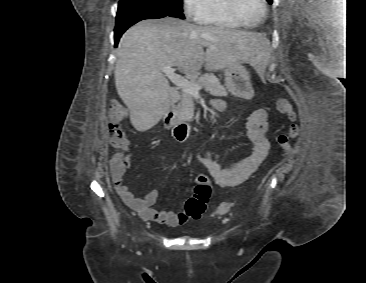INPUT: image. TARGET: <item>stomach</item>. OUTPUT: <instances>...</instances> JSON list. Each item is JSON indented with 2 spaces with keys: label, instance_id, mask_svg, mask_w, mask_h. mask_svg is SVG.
I'll list each match as a JSON object with an SVG mask.
<instances>
[{
  "label": "stomach",
  "instance_id": "1",
  "mask_svg": "<svg viewBox=\"0 0 366 283\" xmlns=\"http://www.w3.org/2000/svg\"><path fill=\"white\" fill-rule=\"evenodd\" d=\"M224 74L226 88L233 95H239L241 93L242 82L248 84L250 82L248 72L242 66V62L226 66L224 68Z\"/></svg>",
  "mask_w": 366,
  "mask_h": 283
}]
</instances>
